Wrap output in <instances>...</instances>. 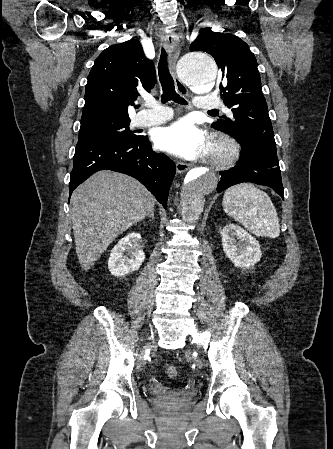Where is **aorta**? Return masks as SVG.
<instances>
[{
	"label": "aorta",
	"mask_w": 333,
	"mask_h": 449,
	"mask_svg": "<svg viewBox=\"0 0 333 449\" xmlns=\"http://www.w3.org/2000/svg\"><path fill=\"white\" fill-rule=\"evenodd\" d=\"M181 81L198 92H209L217 78L213 58L205 52L194 51L182 57L178 63ZM218 174L211 169L196 168L184 178L180 187L183 218L195 222L203 212L205 197L215 191Z\"/></svg>",
	"instance_id": "762f6f07"
}]
</instances>
